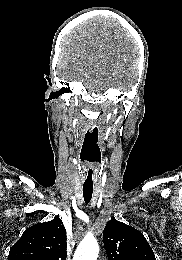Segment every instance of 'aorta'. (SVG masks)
Segmentation results:
<instances>
[{
    "label": "aorta",
    "instance_id": "762f6f07",
    "mask_svg": "<svg viewBox=\"0 0 182 260\" xmlns=\"http://www.w3.org/2000/svg\"><path fill=\"white\" fill-rule=\"evenodd\" d=\"M99 245L94 237L84 238L77 247L73 260H97Z\"/></svg>",
    "mask_w": 182,
    "mask_h": 260
}]
</instances>
